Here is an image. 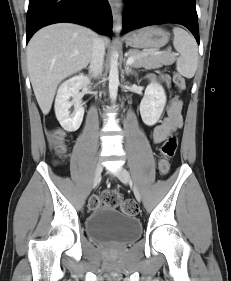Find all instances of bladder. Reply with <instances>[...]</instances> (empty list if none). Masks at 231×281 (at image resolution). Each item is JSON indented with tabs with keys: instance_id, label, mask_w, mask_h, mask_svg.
I'll return each instance as SVG.
<instances>
[{
	"instance_id": "1",
	"label": "bladder",
	"mask_w": 231,
	"mask_h": 281,
	"mask_svg": "<svg viewBox=\"0 0 231 281\" xmlns=\"http://www.w3.org/2000/svg\"><path fill=\"white\" fill-rule=\"evenodd\" d=\"M85 230L93 240L126 244L140 236L142 227L136 217L111 207H101L87 216Z\"/></svg>"
}]
</instances>
